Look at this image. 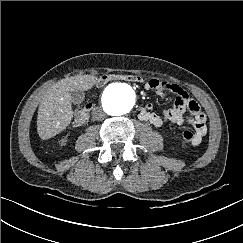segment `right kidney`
I'll list each match as a JSON object with an SVG mask.
<instances>
[{
    "label": "right kidney",
    "mask_w": 243,
    "mask_h": 243,
    "mask_svg": "<svg viewBox=\"0 0 243 243\" xmlns=\"http://www.w3.org/2000/svg\"><path fill=\"white\" fill-rule=\"evenodd\" d=\"M62 145H64L65 144V141H62V143H61Z\"/></svg>",
    "instance_id": "right-kidney-1"
}]
</instances>
